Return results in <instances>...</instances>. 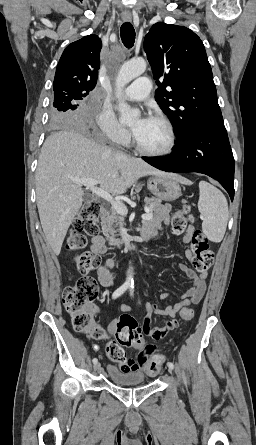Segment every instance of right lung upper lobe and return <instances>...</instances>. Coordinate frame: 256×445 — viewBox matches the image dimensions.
Masks as SVG:
<instances>
[{
    "label": "right lung upper lobe",
    "mask_w": 256,
    "mask_h": 445,
    "mask_svg": "<svg viewBox=\"0 0 256 445\" xmlns=\"http://www.w3.org/2000/svg\"><path fill=\"white\" fill-rule=\"evenodd\" d=\"M102 43L97 35L84 36L69 44L57 65L54 94L72 91L86 96L96 86Z\"/></svg>",
    "instance_id": "1"
}]
</instances>
